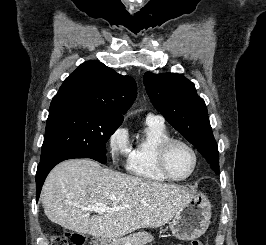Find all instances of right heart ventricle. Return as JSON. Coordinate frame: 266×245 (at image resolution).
Segmentation results:
<instances>
[{"instance_id":"e07e8e85","label":"right heart ventricle","mask_w":266,"mask_h":245,"mask_svg":"<svg viewBox=\"0 0 266 245\" xmlns=\"http://www.w3.org/2000/svg\"><path fill=\"white\" fill-rule=\"evenodd\" d=\"M171 137L164 122L146 121L145 136L132 147L128 161L129 172L148 184L169 182L160 171L157 163V150L162 141Z\"/></svg>"}]
</instances>
